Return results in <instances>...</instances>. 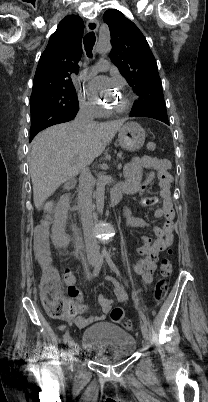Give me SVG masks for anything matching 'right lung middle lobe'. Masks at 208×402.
I'll list each match as a JSON object with an SVG mask.
<instances>
[{"instance_id":"obj_1","label":"right lung middle lobe","mask_w":208,"mask_h":402,"mask_svg":"<svg viewBox=\"0 0 208 402\" xmlns=\"http://www.w3.org/2000/svg\"><path fill=\"white\" fill-rule=\"evenodd\" d=\"M31 118L73 113L78 100L72 80L39 88L30 98Z\"/></svg>"}]
</instances>
